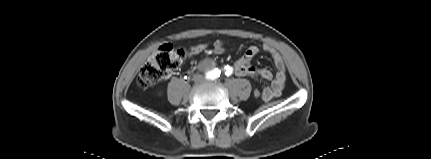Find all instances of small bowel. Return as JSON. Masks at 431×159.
I'll return each mask as SVG.
<instances>
[{"mask_svg": "<svg viewBox=\"0 0 431 159\" xmlns=\"http://www.w3.org/2000/svg\"><path fill=\"white\" fill-rule=\"evenodd\" d=\"M212 48H224L226 50L225 43L222 40H216L212 44ZM208 49L206 43H201L192 46L188 49V55L194 56L198 55ZM264 52L268 53L275 64L276 73L273 74L270 70L266 68H255L251 65L252 59L258 54L259 48L257 46H249L243 55L235 61L233 66H229L232 73L238 76H252L259 77L265 80L271 81V85L262 90L263 101H270L273 98L279 97L284 89L286 81V67L282 56L277 52V50L270 44H264L262 46Z\"/></svg>", "mask_w": 431, "mask_h": 159, "instance_id": "1", "label": "small bowel"}]
</instances>
